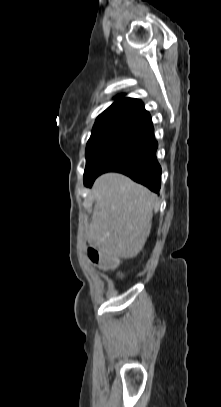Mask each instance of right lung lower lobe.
<instances>
[{
    "label": "right lung lower lobe",
    "instance_id": "obj_1",
    "mask_svg": "<svg viewBox=\"0 0 221 407\" xmlns=\"http://www.w3.org/2000/svg\"><path fill=\"white\" fill-rule=\"evenodd\" d=\"M157 147L150 121L124 141L102 168L84 182L85 186H91L100 174L114 171L129 176L153 192H159L162 170L156 158Z\"/></svg>",
    "mask_w": 221,
    "mask_h": 407
}]
</instances>
